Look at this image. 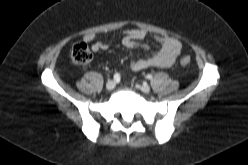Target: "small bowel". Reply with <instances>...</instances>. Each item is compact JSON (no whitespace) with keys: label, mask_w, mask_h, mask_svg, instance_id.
Instances as JSON below:
<instances>
[{"label":"small bowel","mask_w":248,"mask_h":165,"mask_svg":"<svg viewBox=\"0 0 248 165\" xmlns=\"http://www.w3.org/2000/svg\"><path fill=\"white\" fill-rule=\"evenodd\" d=\"M148 31L135 28L122 32V44L127 48L140 47L145 52L142 57L131 61V68L134 71H141L148 68H166L174 64L179 56L182 44L176 38L167 35H155L154 38L159 44V49L152 54H148L149 46L143 42L147 37ZM84 41L91 43L94 51L107 50L108 42L97 40L94 33L84 36Z\"/></svg>","instance_id":"small-bowel-1"}]
</instances>
